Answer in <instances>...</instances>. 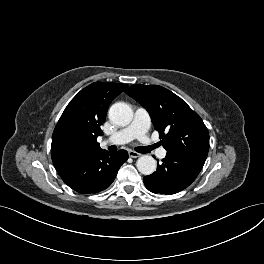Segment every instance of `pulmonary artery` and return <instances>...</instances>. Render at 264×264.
<instances>
[{
    "label": "pulmonary artery",
    "instance_id": "pulmonary-artery-1",
    "mask_svg": "<svg viewBox=\"0 0 264 264\" xmlns=\"http://www.w3.org/2000/svg\"><path fill=\"white\" fill-rule=\"evenodd\" d=\"M150 123L151 121L148 112L144 108H137L132 122L127 127L112 134L106 140V143L125 144L133 139H139L145 145L150 146V139L147 135ZM156 154L162 159L166 156V150L160 148L157 150Z\"/></svg>",
    "mask_w": 264,
    "mask_h": 264
}]
</instances>
